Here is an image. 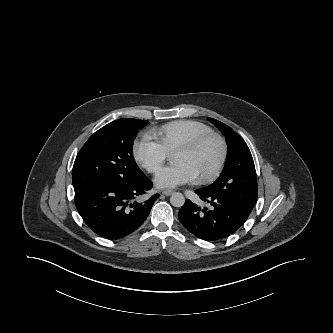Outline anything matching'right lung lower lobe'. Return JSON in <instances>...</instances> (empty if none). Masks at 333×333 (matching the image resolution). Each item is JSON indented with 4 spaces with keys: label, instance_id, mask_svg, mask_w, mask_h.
<instances>
[{
    "label": "right lung lower lobe",
    "instance_id": "1",
    "mask_svg": "<svg viewBox=\"0 0 333 333\" xmlns=\"http://www.w3.org/2000/svg\"><path fill=\"white\" fill-rule=\"evenodd\" d=\"M152 185L142 172L128 185L106 183L74 188L75 205L94 233L118 240L134 232L147 218L154 204L153 198L144 203L139 202V198Z\"/></svg>",
    "mask_w": 333,
    "mask_h": 333
}]
</instances>
